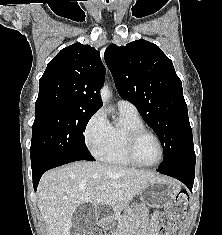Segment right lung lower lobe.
<instances>
[{
    "instance_id": "obj_1",
    "label": "right lung lower lobe",
    "mask_w": 222,
    "mask_h": 235,
    "mask_svg": "<svg viewBox=\"0 0 222 235\" xmlns=\"http://www.w3.org/2000/svg\"><path fill=\"white\" fill-rule=\"evenodd\" d=\"M78 160H83V159H62V160H56V161H52L49 162L47 164H45L44 166H42L39 169L33 170V186H34V190L36 191L39 180L41 178V176L43 175V173L49 169H52L54 167H58L70 162H74V161H78ZM93 161V160H90Z\"/></svg>"
}]
</instances>
